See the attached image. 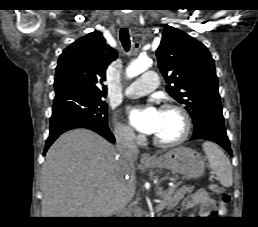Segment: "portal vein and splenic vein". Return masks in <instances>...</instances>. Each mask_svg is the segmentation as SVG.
Returning a JSON list of instances; mask_svg holds the SVG:
<instances>
[{
	"label": "portal vein and splenic vein",
	"mask_w": 258,
	"mask_h": 227,
	"mask_svg": "<svg viewBox=\"0 0 258 227\" xmlns=\"http://www.w3.org/2000/svg\"><path fill=\"white\" fill-rule=\"evenodd\" d=\"M173 190H174V188H170L169 190H167V192L164 193L163 201L160 202V203L155 207L156 210H162L163 208H165L166 202H167V200L169 199L170 195L172 194Z\"/></svg>",
	"instance_id": "18ae733b"
}]
</instances>
